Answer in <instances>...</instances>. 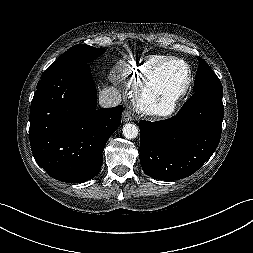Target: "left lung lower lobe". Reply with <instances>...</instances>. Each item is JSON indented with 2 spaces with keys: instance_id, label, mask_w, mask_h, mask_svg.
Here are the masks:
<instances>
[{
  "instance_id": "left-lung-lower-lobe-1",
  "label": "left lung lower lobe",
  "mask_w": 253,
  "mask_h": 253,
  "mask_svg": "<svg viewBox=\"0 0 253 253\" xmlns=\"http://www.w3.org/2000/svg\"><path fill=\"white\" fill-rule=\"evenodd\" d=\"M223 91L203 89L176 116L140 121V163L158 180H178L195 173L216 150L222 132Z\"/></svg>"
}]
</instances>
